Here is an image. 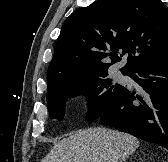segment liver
Listing matches in <instances>:
<instances>
[{
    "instance_id": "6515ba94",
    "label": "liver",
    "mask_w": 168,
    "mask_h": 162,
    "mask_svg": "<svg viewBox=\"0 0 168 162\" xmlns=\"http://www.w3.org/2000/svg\"><path fill=\"white\" fill-rule=\"evenodd\" d=\"M139 145L132 135L89 128L57 142L41 162H123Z\"/></svg>"
}]
</instances>
